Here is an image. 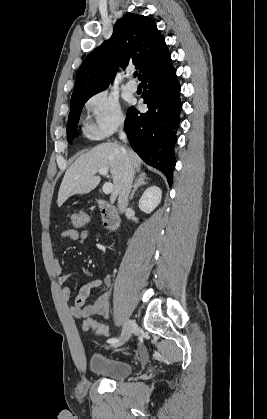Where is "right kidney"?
I'll use <instances>...</instances> for the list:
<instances>
[{
    "mask_svg": "<svg viewBox=\"0 0 267 419\" xmlns=\"http://www.w3.org/2000/svg\"><path fill=\"white\" fill-rule=\"evenodd\" d=\"M162 190L157 186H150L142 194L138 206L144 213L150 214L161 202Z\"/></svg>",
    "mask_w": 267,
    "mask_h": 419,
    "instance_id": "right-kidney-1",
    "label": "right kidney"
}]
</instances>
